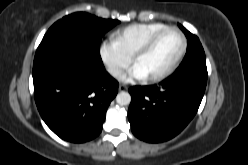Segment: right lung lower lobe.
Here are the masks:
<instances>
[{"label":"right lung lower lobe","instance_id":"1","mask_svg":"<svg viewBox=\"0 0 248 165\" xmlns=\"http://www.w3.org/2000/svg\"><path fill=\"white\" fill-rule=\"evenodd\" d=\"M34 97L47 126L60 138L82 143L100 134L118 92L98 57L85 44L60 40L38 47L33 64Z\"/></svg>","mask_w":248,"mask_h":165}]
</instances>
